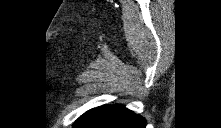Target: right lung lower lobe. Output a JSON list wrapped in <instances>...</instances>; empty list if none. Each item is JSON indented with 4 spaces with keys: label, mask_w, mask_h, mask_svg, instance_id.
<instances>
[{
    "label": "right lung lower lobe",
    "mask_w": 221,
    "mask_h": 128,
    "mask_svg": "<svg viewBox=\"0 0 221 128\" xmlns=\"http://www.w3.org/2000/svg\"><path fill=\"white\" fill-rule=\"evenodd\" d=\"M146 120L122 105L93 108L74 123V128H145Z\"/></svg>",
    "instance_id": "right-lung-lower-lobe-1"
}]
</instances>
